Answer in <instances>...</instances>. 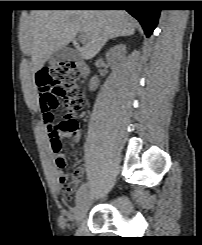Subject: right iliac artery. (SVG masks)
Wrapping results in <instances>:
<instances>
[{
  "mask_svg": "<svg viewBox=\"0 0 202 245\" xmlns=\"http://www.w3.org/2000/svg\"><path fill=\"white\" fill-rule=\"evenodd\" d=\"M87 188V183H84L76 193V202L85 194Z\"/></svg>",
  "mask_w": 202,
  "mask_h": 245,
  "instance_id": "82829eb1",
  "label": "right iliac artery"
}]
</instances>
